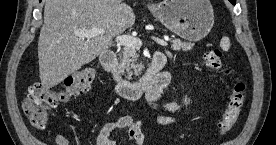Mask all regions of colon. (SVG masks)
I'll use <instances>...</instances> for the list:
<instances>
[{
    "label": "colon",
    "mask_w": 276,
    "mask_h": 145,
    "mask_svg": "<svg viewBox=\"0 0 276 145\" xmlns=\"http://www.w3.org/2000/svg\"><path fill=\"white\" fill-rule=\"evenodd\" d=\"M203 65L217 73L225 72L222 67V52L219 49L206 52L203 57ZM94 79L95 72L91 69H84L67 76L60 88L46 87L41 83L30 85L22 103L23 111L30 124L35 128L45 126L48 113L52 108L87 91ZM244 102L245 84L237 78L232 86L228 104L217 125V132L220 136L227 134L235 125Z\"/></svg>",
    "instance_id": "obj_1"
}]
</instances>
